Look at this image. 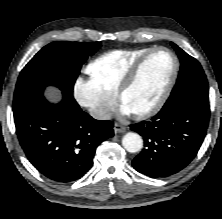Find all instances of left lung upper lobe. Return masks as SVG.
<instances>
[{"label": "left lung upper lobe", "mask_w": 222, "mask_h": 219, "mask_svg": "<svg viewBox=\"0 0 222 219\" xmlns=\"http://www.w3.org/2000/svg\"><path fill=\"white\" fill-rule=\"evenodd\" d=\"M171 45L179 56L181 68L176 85L168 100L189 95L209 102L208 83L200 63L176 44L171 42Z\"/></svg>", "instance_id": "5c2ea615"}]
</instances>
